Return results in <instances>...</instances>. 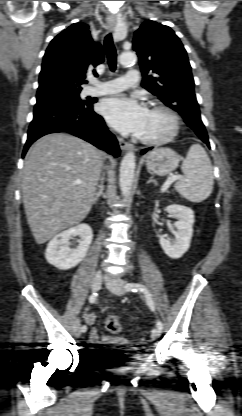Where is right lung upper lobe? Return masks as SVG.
I'll return each mask as SVG.
<instances>
[{"label": "right lung upper lobe", "instance_id": "right-lung-upper-lobe-1", "mask_svg": "<svg viewBox=\"0 0 242 416\" xmlns=\"http://www.w3.org/2000/svg\"><path fill=\"white\" fill-rule=\"evenodd\" d=\"M102 46L93 41L89 26L75 23L57 35L43 57L37 97L62 88L82 89L87 72L102 63Z\"/></svg>", "mask_w": 242, "mask_h": 416}]
</instances>
